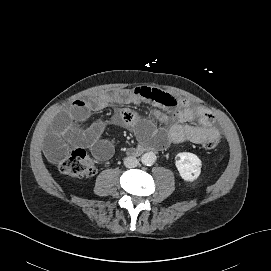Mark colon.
<instances>
[{"instance_id": "5ec220e1", "label": "colon", "mask_w": 271, "mask_h": 271, "mask_svg": "<svg viewBox=\"0 0 271 271\" xmlns=\"http://www.w3.org/2000/svg\"><path fill=\"white\" fill-rule=\"evenodd\" d=\"M222 138L220 134H212L208 136L203 147L212 150L220 146ZM60 170L70 177H89L95 173V166L89 155L83 149L73 150L59 164Z\"/></svg>"}]
</instances>
